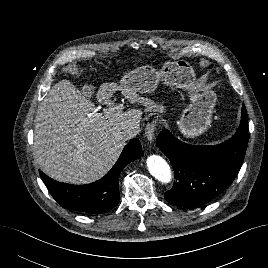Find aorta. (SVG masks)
Here are the masks:
<instances>
[{
    "label": "aorta",
    "mask_w": 268,
    "mask_h": 268,
    "mask_svg": "<svg viewBox=\"0 0 268 268\" xmlns=\"http://www.w3.org/2000/svg\"><path fill=\"white\" fill-rule=\"evenodd\" d=\"M147 168L152 176H154L158 181L162 183H169L171 181L172 175L171 170L166 162L159 155H150L147 160Z\"/></svg>",
    "instance_id": "1"
}]
</instances>
